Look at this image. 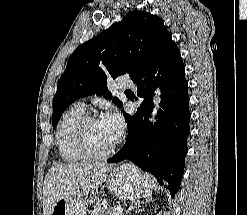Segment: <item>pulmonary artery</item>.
<instances>
[{"mask_svg":"<svg viewBox=\"0 0 247 215\" xmlns=\"http://www.w3.org/2000/svg\"><path fill=\"white\" fill-rule=\"evenodd\" d=\"M116 87L119 89L134 88V82L129 77L119 76L116 81ZM77 104L84 107L83 101H80Z\"/></svg>","mask_w":247,"mask_h":215,"instance_id":"e3ab8cb5","label":"pulmonary artery"}]
</instances>
